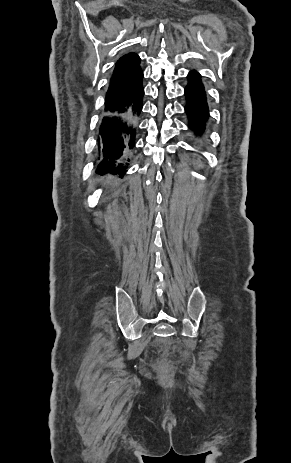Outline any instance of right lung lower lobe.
Instances as JSON below:
<instances>
[{
  "label": "right lung lower lobe",
  "mask_w": 291,
  "mask_h": 463,
  "mask_svg": "<svg viewBox=\"0 0 291 463\" xmlns=\"http://www.w3.org/2000/svg\"><path fill=\"white\" fill-rule=\"evenodd\" d=\"M142 78L143 72H140L124 96L105 107L97 136L99 173L123 176L127 172L143 107Z\"/></svg>",
  "instance_id": "98d812e1"
}]
</instances>
